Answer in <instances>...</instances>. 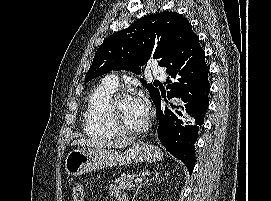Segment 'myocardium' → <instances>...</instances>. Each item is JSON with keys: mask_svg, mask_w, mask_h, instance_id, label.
Returning <instances> with one entry per match:
<instances>
[{"mask_svg": "<svg viewBox=\"0 0 271 201\" xmlns=\"http://www.w3.org/2000/svg\"><path fill=\"white\" fill-rule=\"evenodd\" d=\"M127 98H130V95L126 92H116L112 95V97L109 99L106 106L108 118L110 122L112 123V125L116 128V130L120 134L137 135V134L143 133L144 131L148 129L149 124H150L147 118L145 122L139 127H130L124 124L116 113L117 104L121 100L127 99Z\"/></svg>", "mask_w": 271, "mask_h": 201, "instance_id": "myocardium-1", "label": "myocardium"}]
</instances>
